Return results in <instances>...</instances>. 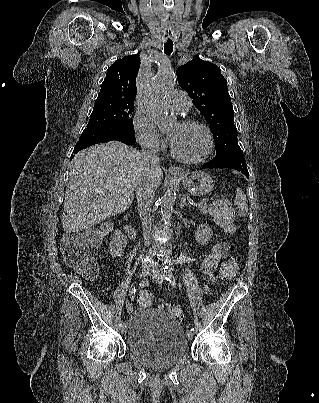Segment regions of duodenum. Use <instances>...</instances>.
<instances>
[{
	"label": "duodenum",
	"mask_w": 319,
	"mask_h": 403,
	"mask_svg": "<svg viewBox=\"0 0 319 403\" xmlns=\"http://www.w3.org/2000/svg\"><path fill=\"white\" fill-rule=\"evenodd\" d=\"M128 220H129V216L125 215L124 216V223H125L124 228H125L126 233L133 239L136 235V230L131 224H129Z\"/></svg>",
	"instance_id": "1"
}]
</instances>
